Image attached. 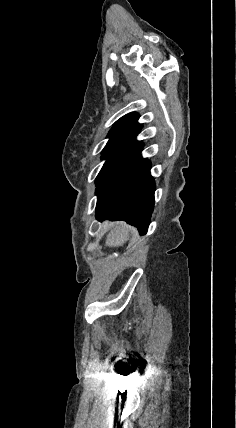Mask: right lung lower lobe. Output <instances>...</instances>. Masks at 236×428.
Segmentation results:
<instances>
[{"label":"right lung lower lobe","mask_w":236,"mask_h":428,"mask_svg":"<svg viewBox=\"0 0 236 428\" xmlns=\"http://www.w3.org/2000/svg\"><path fill=\"white\" fill-rule=\"evenodd\" d=\"M151 165L141 156L126 175L97 201L96 218L124 220L147 231L154 208L155 182L150 175Z\"/></svg>","instance_id":"98d812e1"}]
</instances>
